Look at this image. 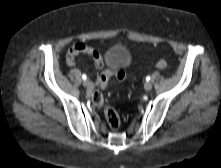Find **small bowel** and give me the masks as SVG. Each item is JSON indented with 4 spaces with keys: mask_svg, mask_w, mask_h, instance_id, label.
<instances>
[{
    "mask_svg": "<svg viewBox=\"0 0 221 168\" xmlns=\"http://www.w3.org/2000/svg\"><path fill=\"white\" fill-rule=\"evenodd\" d=\"M79 54L90 56L97 70L101 69L104 65V61L100 53L95 48L90 47L84 43H76L69 49L66 56L67 64L70 66L75 65L76 57ZM113 76H115L117 80L121 81L124 79L125 73L122 70L115 71L112 67H107L104 71L97 74L95 85L100 88H106Z\"/></svg>",
    "mask_w": 221,
    "mask_h": 168,
    "instance_id": "obj_1",
    "label": "small bowel"
}]
</instances>
